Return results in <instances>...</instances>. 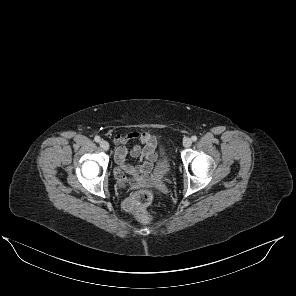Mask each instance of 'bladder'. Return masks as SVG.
Wrapping results in <instances>:
<instances>
[{"instance_id":"31cf9c89","label":"bladder","mask_w":296,"mask_h":296,"mask_svg":"<svg viewBox=\"0 0 296 296\" xmlns=\"http://www.w3.org/2000/svg\"><path fill=\"white\" fill-rule=\"evenodd\" d=\"M173 170V164L170 158L168 157L166 150L161 148L159 151V155L157 157V161L154 166V174L157 177H166L171 174Z\"/></svg>"}]
</instances>
